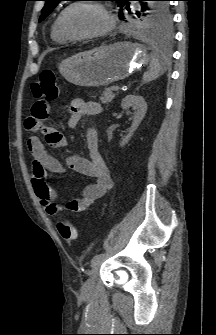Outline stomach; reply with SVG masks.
<instances>
[{"label": "stomach", "mask_w": 216, "mask_h": 335, "mask_svg": "<svg viewBox=\"0 0 216 335\" xmlns=\"http://www.w3.org/2000/svg\"><path fill=\"white\" fill-rule=\"evenodd\" d=\"M149 61L142 46L124 41L80 52L63 60L58 68L75 85L100 87L127 78Z\"/></svg>", "instance_id": "stomach-1"}]
</instances>
